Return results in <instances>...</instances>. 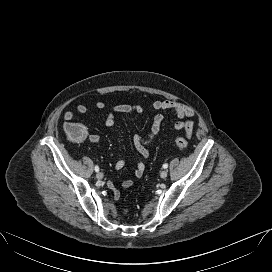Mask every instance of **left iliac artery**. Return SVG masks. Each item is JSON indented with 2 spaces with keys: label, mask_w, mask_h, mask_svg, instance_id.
Here are the masks:
<instances>
[{
  "label": "left iliac artery",
  "mask_w": 272,
  "mask_h": 272,
  "mask_svg": "<svg viewBox=\"0 0 272 272\" xmlns=\"http://www.w3.org/2000/svg\"><path fill=\"white\" fill-rule=\"evenodd\" d=\"M163 168L164 169L168 168V164L167 163L163 164Z\"/></svg>",
  "instance_id": "left-iliac-artery-1"
}]
</instances>
